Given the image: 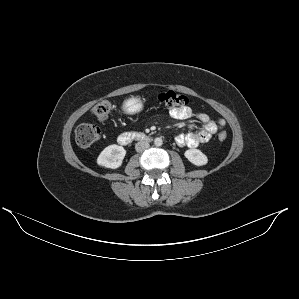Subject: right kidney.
Here are the masks:
<instances>
[{"mask_svg":"<svg viewBox=\"0 0 299 299\" xmlns=\"http://www.w3.org/2000/svg\"><path fill=\"white\" fill-rule=\"evenodd\" d=\"M126 150L116 144L107 146L98 156L97 164L105 168L116 169L122 165Z\"/></svg>","mask_w":299,"mask_h":299,"instance_id":"ca27d5eb","label":"right kidney"}]
</instances>
